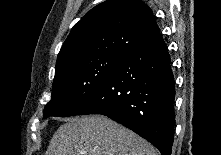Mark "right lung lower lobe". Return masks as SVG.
Returning a JSON list of instances; mask_svg holds the SVG:
<instances>
[{
    "instance_id": "right-lung-lower-lobe-1",
    "label": "right lung lower lobe",
    "mask_w": 221,
    "mask_h": 155,
    "mask_svg": "<svg viewBox=\"0 0 221 155\" xmlns=\"http://www.w3.org/2000/svg\"><path fill=\"white\" fill-rule=\"evenodd\" d=\"M174 76L160 34L130 49L78 115L102 114L171 155L174 140Z\"/></svg>"
}]
</instances>
